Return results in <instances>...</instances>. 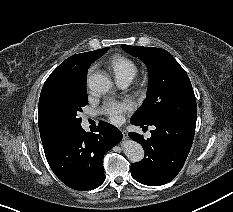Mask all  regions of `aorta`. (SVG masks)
<instances>
[{"instance_id":"aorta-1","label":"aorta","mask_w":233,"mask_h":212,"mask_svg":"<svg viewBox=\"0 0 233 212\" xmlns=\"http://www.w3.org/2000/svg\"><path fill=\"white\" fill-rule=\"evenodd\" d=\"M88 86L93 92L106 93L112 88L113 84L107 75L96 73L89 76ZM122 147L125 155L131 162L136 163L143 159L144 150L139 143L133 140H126L122 142Z\"/></svg>"}]
</instances>
